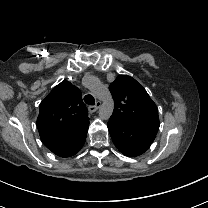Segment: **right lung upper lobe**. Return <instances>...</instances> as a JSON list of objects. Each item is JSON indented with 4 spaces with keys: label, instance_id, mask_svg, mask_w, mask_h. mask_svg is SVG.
<instances>
[{
    "label": "right lung upper lobe",
    "instance_id": "cb5924a9",
    "mask_svg": "<svg viewBox=\"0 0 208 208\" xmlns=\"http://www.w3.org/2000/svg\"><path fill=\"white\" fill-rule=\"evenodd\" d=\"M80 90L67 80L55 86L40 103L37 128L42 142L75 133L89 123Z\"/></svg>",
    "mask_w": 208,
    "mask_h": 208
}]
</instances>
